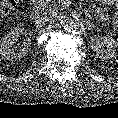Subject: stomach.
Segmentation results:
<instances>
[{
    "label": "stomach",
    "instance_id": "1",
    "mask_svg": "<svg viewBox=\"0 0 118 118\" xmlns=\"http://www.w3.org/2000/svg\"><path fill=\"white\" fill-rule=\"evenodd\" d=\"M97 1L105 6H111L116 0H97Z\"/></svg>",
    "mask_w": 118,
    "mask_h": 118
}]
</instances>
